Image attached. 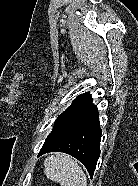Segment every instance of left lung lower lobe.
I'll list each match as a JSON object with an SVG mask.
<instances>
[{"label": "left lung lower lobe", "mask_w": 138, "mask_h": 186, "mask_svg": "<svg viewBox=\"0 0 138 186\" xmlns=\"http://www.w3.org/2000/svg\"><path fill=\"white\" fill-rule=\"evenodd\" d=\"M88 95L54 123L38 156L64 152L81 161L92 178L100 156L101 129L98 109Z\"/></svg>", "instance_id": "obj_1"}]
</instances>
